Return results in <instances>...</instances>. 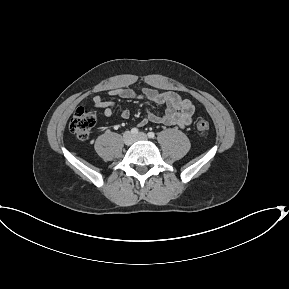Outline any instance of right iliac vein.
Returning a JSON list of instances; mask_svg holds the SVG:
<instances>
[{"mask_svg":"<svg viewBox=\"0 0 289 289\" xmlns=\"http://www.w3.org/2000/svg\"><path fill=\"white\" fill-rule=\"evenodd\" d=\"M134 141V136L132 135L131 132L129 131H126L124 134H123V142L126 144V145H130L132 144Z\"/></svg>","mask_w":289,"mask_h":289,"instance_id":"63e3f726","label":"right iliac vein"}]
</instances>
